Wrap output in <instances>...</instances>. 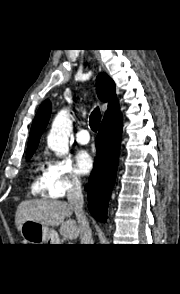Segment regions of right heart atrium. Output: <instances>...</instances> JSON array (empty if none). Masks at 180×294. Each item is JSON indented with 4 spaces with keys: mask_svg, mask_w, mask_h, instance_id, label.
Returning <instances> with one entry per match:
<instances>
[{
    "mask_svg": "<svg viewBox=\"0 0 180 294\" xmlns=\"http://www.w3.org/2000/svg\"><path fill=\"white\" fill-rule=\"evenodd\" d=\"M44 181L46 194L51 198H62L81 187V179L66 158L47 160Z\"/></svg>",
    "mask_w": 180,
    "mask_h": 294,
    "instance_id": "obj_1",
    "label": "right heart atrium"
}]
</instances>
